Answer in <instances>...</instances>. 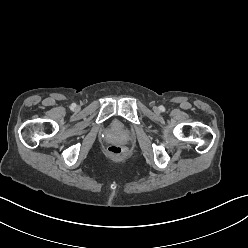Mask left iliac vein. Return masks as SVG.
<instances>
[{"mask_svg":"<svg viewBox=\"0 0 248 248\" xmlns=\"http://www.w3.org/2000/svg\"><path fill=\"white\" fill-rule=\"evenodd\" d=\"M154 110H155L156 112H159V108H158V107H154Z\"/></svg>","mask_w":248,"mask_h":248,"instance_id":"1","label":"left iliac vein"}]
</instances>
